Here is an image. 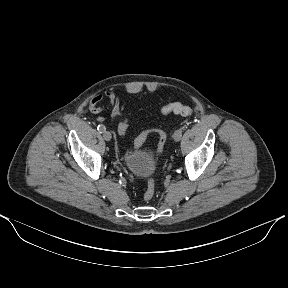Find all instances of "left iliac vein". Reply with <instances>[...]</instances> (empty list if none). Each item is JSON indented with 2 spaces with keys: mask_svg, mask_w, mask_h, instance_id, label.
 I'll list each match as a JSON object with an SVG mask.
<instances>
[{
  "mask_svg": "<svg viewBox=\"0 0 288 288\" xmlns=\"http://www.w3.org/2000/svg\"><path fill=\"white\" fill-rule=\"evenodd\" d=\"M182 137V132H179V129H177L174 134H173V138L175 141H180Z\"/></svg>",
  "mask_w": 288,
  "mask_h": 288,
  "instance_id": "left-iliac-vein-1",
  "label": "left iliac vein"
}]
</instances>
